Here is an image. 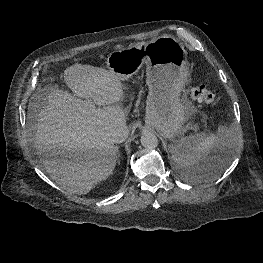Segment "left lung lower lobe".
I'll return each instance as SVG.
<instances>
[{
  "label": "left lung lower lobe",
  "mask_w": 263,
  "mask_h": 263,
  "mask_svg": "<svg viewBox=\"0 0 263 263\" xmlns=\"http://www.w3.org/2000/svg\"><path fill=\"white\" fill-rule=\"evenodd\" d=\"M219 159L216 156L209 158L199 169L192 170L190 174L198 177H209L219 169Z\"/></svg>",
  "instance_id": "obj_1"
}]
</instances>
